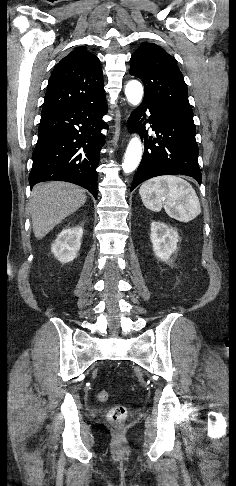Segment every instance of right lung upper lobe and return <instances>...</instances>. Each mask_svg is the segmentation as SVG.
I'll use <instances>...</instances> for the list:
<instances>
[{"mask_svg":"<svg viewBox=\"0 0 236 486\" xmlns=\"http://www.w3.org/2000/svg\"><path fill=\"white\" fill-rule=\"evenodd\" d=\"M105 98L99 59L78 47L54 68L44 98L42 114Z\"/></svg>","mask_w":236,"mask_h":486,"instance_id":"right-lung-upper-lobe-1","label":"right lung upper lobe"}]
</instances>
